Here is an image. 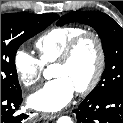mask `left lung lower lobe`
<instances>
[{"instance_id":"0a47b994","label":"left lung lower lobe","mask_w":123,"mask_h":123,"mask_svg":"<svg viewBox=\"0 0 123 123\" xmlns=\"http://www.w3.org/2000/svg\"><path fill=\"white\" fill-rule=\"evenodd\" d=\"M74 113L77 123H123V90L89 94Z\"/></svg>"}]
</instances>
